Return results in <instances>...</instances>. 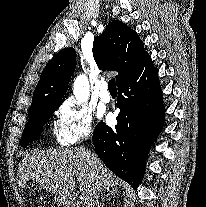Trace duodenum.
Returning a JSON list of instances; mask_svg holds the SVG:
<instances>
[{"instance_id":"1","label":"duodenum","mask_w":206,"mask_h":207,"mask_svg":"<svg viewBox=\"0 0 206 207\" xmlns=\"http://www.w3.org/2000/svg\"><path fill=\"white\" fill-rule=\"evenodd\" d=\"M68 205L71 206V203L69 202Z\"/></svg>"}]
</instances>
